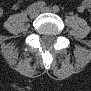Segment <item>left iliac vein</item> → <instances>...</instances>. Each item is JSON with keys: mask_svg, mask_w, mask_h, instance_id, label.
I'll return each instance as SVG.
<instances>
[{"mask_svg": "<svg viewBox=\"0 0 91 91\" xmlns=\"http://www.w3.org/2000/svg\"><path fill=\"white\" fill-rule=\"evenodd\" d=\"M40 10H41V12H52L53 11V9L51 7H43Z\"/></svg>", "mask_w": 91, "mask_h": 91, "instance_id": "obj_1", "label": "left iliac vein"}]
</instances>
